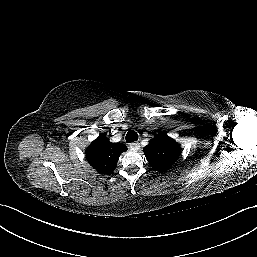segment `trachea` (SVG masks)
Here are the masks:
<instances>
[{"label": "trachea", "mask_w": 257, "mask_h": 257, "mask_svg": "<svg viewBox=\"0 0 257 257\" xmlns=\"http://www.w3.org/2000/svg\"><path fill=\"white\" fill-rule=\"evenodd\" d=\"M126 141L128 143H131V142H134V141H137L138 140V134L133 131V130H130L127 134H126Z\"/></svg>", "instance_id": "obj_1"}]
</instances>
